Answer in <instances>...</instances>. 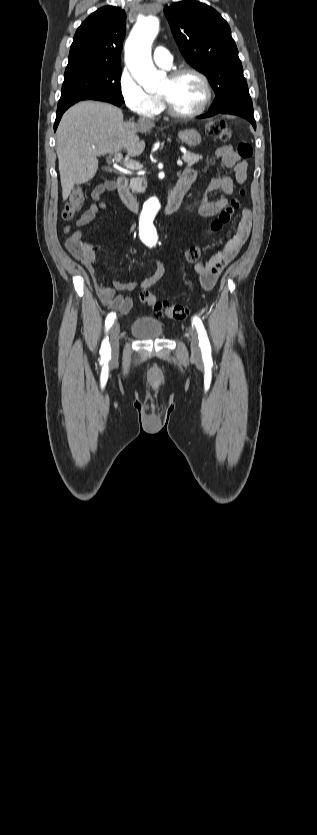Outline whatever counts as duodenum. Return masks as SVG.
<instances>
[{
  "mask_svg": "<svg viewBox=\"0 0 317 835\" xmlns=\"http://www.w3.org/2000/svg\"><path fill=\"white\" fill-rule=\"evenodd\" d=\"M108 184H110V189L117 190L119 198L125 206L132 211H137L139 209V201L132 193L129 192L128 180L125 176H120L116 182L110 181ZM187 190L188 186L179 180L166 199L164 207V212L166 214L173 213L179 208Z\"/></svg>",
  "mask_w": 317,
  "mask_h": 835,
  "instance_id": "obj_1",
  "label": "duodenum"
}]
</instances>
